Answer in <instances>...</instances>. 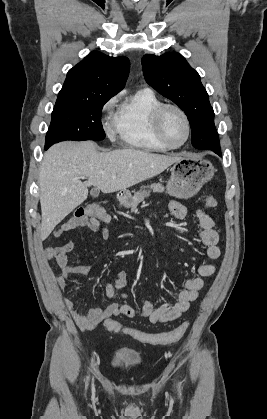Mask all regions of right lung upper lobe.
Instances as JSON below:
<instances>
[{
	"label": "right lung upper lobe",
	"instance_id": "obj_1",
	"mask_svg": "<svg viewBox=\"0 0 267 419\" xmlns=\"http://www.w3.org/2000/svg\"><path fill=\"white\" fill-rule=\"evenodd\" d=\"M129 67L124 56L114 58L93 51L68 71L58 96H114L124 88Z\"/></svg>",
	"mask_w": 267,
	"mask_h": 419
}]
</instances>
